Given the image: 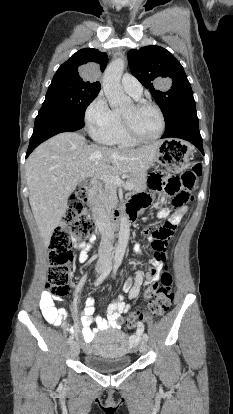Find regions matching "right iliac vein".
Instances as JSON below:
<instances>
[{"label":"right iliac vein","mask_w":233,"mask_h":414,"mask_svg":"<svg viewBox=\"0 0 233 414\" xmlns=\"http://www.w3.org/2000/svg\"><path fill=\"white\" fill-rule=\"evenodd\" d=\"M101 272H102L101 269L98 270V273H101ZM79 351H80V349H79V345L77 344V342L71 343V345H70V356L71 357H76L79 354Z\"/></svg>","instance_id":"right-iliac-vein-1"}]
</instances>
